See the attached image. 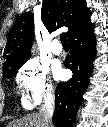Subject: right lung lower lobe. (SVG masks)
<instances>
[{
    "label": "right lung lower lobe",
    "instance_id": "obj_1",
    "mask_svg": "<svg viewBox=\"0 0 108 127\" xmlns=\"http://www.w3.org/2000/svg\"><path fill=\"white\" fill-rule=\"evenodd\" d=\"M93 29L94 24L89 21L69 37L70 54L65 60V66L72 70L73 77L66 83L57 85L53 115L55 127H73L78 108L83 102L95 54Z\"/></svg>",
    "mask_w": 108,
    "mask_h": 127
}]
</instances>
